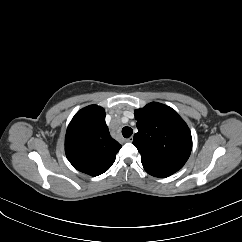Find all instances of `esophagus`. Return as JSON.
<instances>
[{"mask_svg":"<svg viewBox=\"0 0 242 242\" xmlns=\"http://www.w3.org/2000/svg\"><path fill=\"white\" fill-rule=\"evenodd\" d=\"M133 141V137H129L128 139H126V142H132Z\"/></svg>","mask_w":242,"mask_h":242,"instance_id":"obj_1","label":"esophagus"}]
</instances>
